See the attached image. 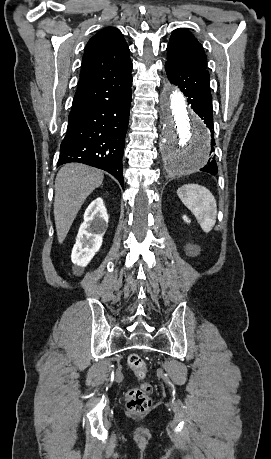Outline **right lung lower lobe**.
<instances>
[{"instance_id": "right-lung-lower-lobe-1", "label": "right lung lower lobe", "mask_w": 271, "mask_h": 459, "mask_svg": "<svg viewBox=\"0 0 271 459\" xmlns=\"http://www.w3.org/2000/svg\"><path fill=\"white\" fill-rule=\"evenodd\" d=\"M131 85L130 72L74 97L58 166L79 162L97 167L116 177L123 187Z\"/></svg>"}]
</instances>
